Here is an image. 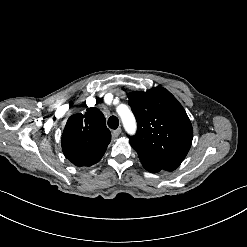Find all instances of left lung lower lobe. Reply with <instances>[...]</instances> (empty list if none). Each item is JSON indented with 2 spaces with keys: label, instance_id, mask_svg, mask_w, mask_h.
Instances as JSON below:
<instances>
[{
  "label": "left lung lower lobe",
  "instance_id": "left-lung-lower-lobe-1",
  "mask_svg": "<svg viewBox=\"0 0 247 247\" xmlns=\"http://www.w3.org/2000/svg\"><path fill=\"white\" fill-rule=\"evenodd\" d=\"M144 168H145L146 170H148L149 172H152V173H156V172L161 171V170H155L154 167H149V166H145V165H144Z\"/></svg>",
  "mask_w": 247,
  "mask_h": 247
}]
</instances>
